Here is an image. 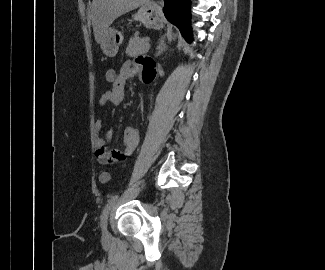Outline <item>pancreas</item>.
Wrapping results in <instances>:
<instances>
[{"label":"pancreas","mask_w":325,"mask_h":270,"mask_svg":"<svg viewBox=\"0 0 325 270\" xmlns=\"http://www.w3.org/2000/svg\"><path fill=\"white\" fill-rule=\"evenodd\" d=\"M149 50V40L139 38L137 34H135L129 41V44L126 48V54L129 57H136L137 55H141L146 53Z\"/></svg>","instance_id":"obj_1"}]
</instances>
